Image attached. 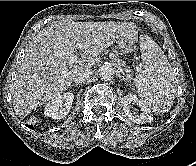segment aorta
<instances>
[{
  "mask_svg": "<svg viewBox=\"0 0 196 166\" xmlns=\"http://www.w3.org/2000/svg\"><path fill=\"white\" fill-rule=\"evenodd\" d=\"M99 76L103 81H110L115 76V70L110 64H105L100 67Z\"/></svg>",
  "mask_w": 196,
  "mask_h": 166,
  "instance_id": "762f6f07",
  "label": "aorta"
}]
</instances>
